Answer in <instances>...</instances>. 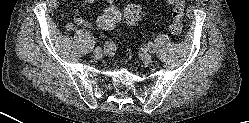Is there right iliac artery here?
Here are the masks:
<instances>
[{"instance_id":"obj_1","label":"right iliac artery","mask_w":249,"mask_h":123,"mask_svg":"<svg viewBox=\"0 0 249 123\" xmlns=\"http://www.w3.org/2000/svg\"><path fill=\"white\" fill-rule=\"evenodd\" d=\"M110 49H112V43L111 42H106L105 45H104V50L109 51Z\"/></svg>"}]
</instances>
